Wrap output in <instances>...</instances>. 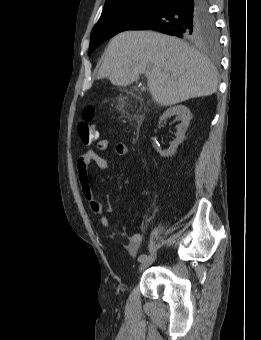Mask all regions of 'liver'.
<instances>
[{
    "instance_id": "1",
    "label": "liver",
    "mask_w": 261,
    "mask_h": 340,
    "mask_svg": "<svg viewBox=\"0 0 261 340\" xmlns=\"http://www.w3.org/2000/svg\"><path fill=\"white\" fill-rule=\"evenodd\" d=\"M145 74L153 99L171 106L216 92L217 70L207 57L180 39L153 31L114 36L97 74L113 85L128 86Z\"/></svg>"
}]
</instances>
